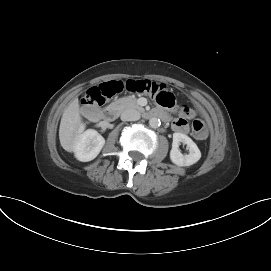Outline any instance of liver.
Listing matches in <instances>:
<instances>
[{
    "label": "liver",
    "mask_w": 271,
    "mask_h": 271,
    "mask_svg": "<svg viewBox=\"0 0 271 271\" xmlns=\"http://www.w3.org/2000/svg\"><path fill=\"white\" fill-rule=\"evenodd\" d=\"M82 127L79 101L78 99H74L64 111L61 118L59 139L63 149L68 152L74 151L75 141Z\"/></svg>",
    "instance_id": "1"
}]
</instances>
